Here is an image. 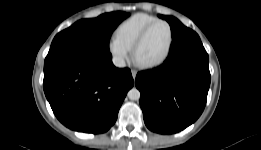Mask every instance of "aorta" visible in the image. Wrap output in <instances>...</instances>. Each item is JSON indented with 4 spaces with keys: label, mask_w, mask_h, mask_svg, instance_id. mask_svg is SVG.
Returning <instances> with one entry per match:
<instances>
[{
    "label": "aorta",
    "mask_w": 261,
    "mask_h": 150,
    "mask_svg": "<svg viewBox=\"0 0 261 150\" xmlns=\"http://www.w3.org/2000/svg\"><path fill=\"white\" fill-rule=\"evenodd\" d=\"M140 91L137 88H132L128 91V98L130 100H139L140 99Z\"/></svg>",
    "instance_id": "aorta-1"
}]
</instances>
